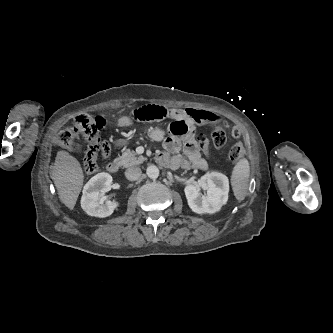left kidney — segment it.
<instances>
[{"label":"left kidney","mask_w":333,"mask_h":333,"mask_svg":"<svg viewBox=\"0 0 333 333\" xmlns=\"http://www.w3.org/2000/svg\"><path fill=\"white\" fill-rule=\"evenodd\" d=\"M201 189L206 190L203 195ZM188 205L197 214L215 213L226 204L229 193L228 177L219 172H207L197 185L189 184L184 189Z\"/></svg>","instance_id":"left-kidney-1"}]
</instances>
